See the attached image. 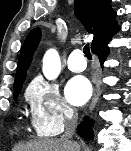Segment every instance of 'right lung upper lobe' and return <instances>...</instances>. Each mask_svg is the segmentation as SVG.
Returning a JSON list of instances; mask_svg holds the SVG:
<instances>
[{
    "label": "right lung upper lobe",
    "mask_w": 131,
    "mask_h": 151,
    "mask_svg": "<svg viewBox=\"0 0 131 151\" xmlns=\"http://www.w3.org/2000/svg\"><path fill=\"white\" fill-rule=\"evenodd\" d=\"M110 2V0H74L77 18L86 30L94 35L92 49L108 40L119 30L115 20L116 13L112 10ZM40 39V28L31 30L27 35L18 60L14 90L22 87Z\"/></svg>",
    "instance_id": "obj_1"
}]
</instances>
